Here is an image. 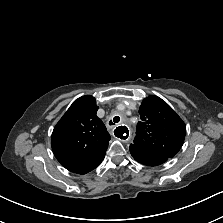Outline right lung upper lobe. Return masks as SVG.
<instances>
[{
    "label": "right lung upper lobe",
    "instance_id": "obj_1",
    "mask_svg": "<svg viewBox=\"0 0 223 223\" xmlns=\"http://www.w3.org/2000/svg\"><path fill=\"white\" fill-rule=\"evenodd\" d=\"M97 110L94 97L82 96L73 102L53 130V153L73 173H88L105 157L111 137L96 116Z\"/></svg>",
    "mask_w": 223,
    "mask_h": 223
}]
</instances>
